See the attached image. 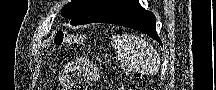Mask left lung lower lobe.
I'll list each match as a JSON object with an SVG mask.
<instances>
[{
    "label": "left lung lower lobe",
    "mask_w": 216,
    "mask_h": 90,
    "mask_svg": "<svg viewBox=\"0 0 216 90\" xmlns=\"http://www.w3.org/2000/svg\"><path fill=\"white\" fill-rule=\"evenodd\" d=\"M94 22L110 23L141 31L162 44L156 32V18L146 11L137 0H130L120 8L114 9Z\"/></svg>",
    "instance_id": "obj_1"
}]
</instances>
